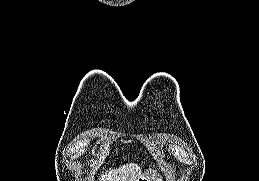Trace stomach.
Here are the masks:
<instances>
[{"mask_svg": "<svg viewBox=\"0 0 259 181\" xmlns=\"http://www.w3.org/2000/svg\"><path fill=\"white\" fill-rule=\"evenodd\" d=\"M156 175L147 176V175H140L136 178L135 181H156Z\"/></svg>", "mask_w": 259, "mask_h": 181, "instance_id": "stomach-1", "label": "stomach"}]
</instances>
